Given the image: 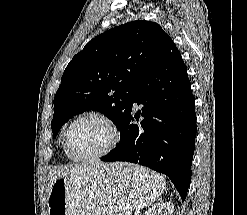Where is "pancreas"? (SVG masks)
<instances>
[{"label":"pancreas","instance_id":"cf45deb5","mask_svg":"<svg viewBox=\"0 0 247 215\" xmlns=\"http://www.w3.org/2000/svg\"><path fill=\"white\" fill-rule=\"evenodd\" d=\"M118 215H130V213H128V212H121Z\"/></svg>","mask_w":247,"mask_h":215}]
</instances>
